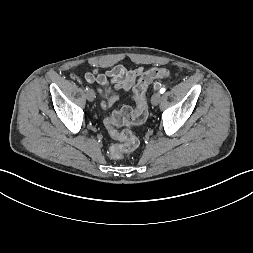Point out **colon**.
<instances>
[{
  "label": "colon",
  "mask_w": 253,
  "mask_h": 253,
  "mask_svg": "<svg viewBox=\"0 0 253 253\" xmlns=\"http://www.w3.org/2000/svg\"><path fill=\"white\" fill-rule=\"evenodd\" d=\"M169 76L170 72L166 68H153L144 73L134 87L136 108L132 109L125 106L105 119L104 123L110 137L118 142L109 149L108 155L111 159H121L126 153L131 152L138 146V139L130 130H120L119 128L121 126L141 125L146 121L148 116L146 100L148 86L154 80L168 79Z\"/></svg>",
  "instance_id": "colon-1"
}]
</instances>
